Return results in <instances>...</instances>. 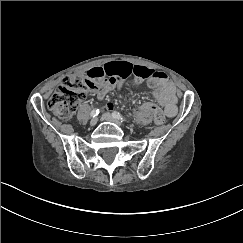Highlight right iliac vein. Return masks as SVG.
Segmentation results:
<instances>
[{
	"label": "right iliac vein",
	"mask_w": 243,
	"mask_h": 243,
	"mask_svg": "<svg viewBox=\"0 0 243 243\" xmlns=\"http://www.w3.org/2000/svg\"><path fill=\"white\" fill-rule=\"evenodd\" d=\"M97 122H98V118H93V119H91V121H90V125H91V126H95V125L97 124Z\"/></svg>",
	"instance_id": "obj_1"
}]
</instances>
